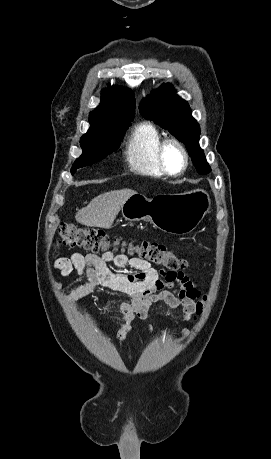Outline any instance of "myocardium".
Instances as JSON below:
<instances>
[{"instance_id":"myocardium-1","label":"myocardium","mask_w":271,"mask_h":459,"mask_svg":"<svg viewBox=\"0 0 271 459\" xmlns=\"http://www.w3.org/2000/svg\"><path fill=\"white\" fill-rule=\"evenodd\" d=\"M169 144L177 145L185 157L184 168L180 171H177V172L172 171L167 164L165 151ZM157 159H158L160 166L164 170V172L167 175L172 176V177H179L185 174L191 164V156H190V152L186 144L180 138L176 136H168L160 140L158 147H157Z\"/></svg>"}]
</instances>
